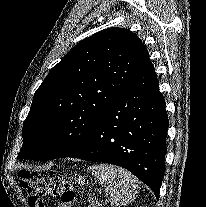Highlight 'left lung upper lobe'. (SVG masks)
I'll use <instances>...</instances> for the list:
<instances>
[{
  "label": "left lung upper lobe",
  "instance_id": "obj_1",
  "mask_svg": "<svg viewBox=\"0 0 206 207\" xmlns=\"http://www.w3.org/2000/svg\"><path fill=\"white\" fill-rule=\"evenodd\" d=\"M149 54L130 30H102L74 46L34 94L19 159L67 157L92 138L105 110L147 66Z\"/></svg>",
  "mask_w": 206,
  "mask_h": 207
}]
</instances>
